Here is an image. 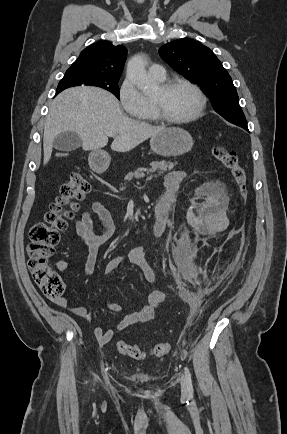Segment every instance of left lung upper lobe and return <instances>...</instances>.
I'll return each instance as SVG.
<instances>
[{"instance_id":"1","label":"left lung upper lobe","mask_w":287,"mask_h":434,"mask_svg":"<svg viewBox=\"0 0 287 434\" xmlns=\"http://www.w3.org/2000/svg\"><path fill=\"white\" fill-rule=\"evenodd\" d=\"M159 54L174 70L199 84L222 117L246 120L230 75L208 47L192 39H178L163 45Z\"/></svg>"}]
</instances>
